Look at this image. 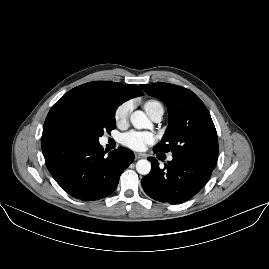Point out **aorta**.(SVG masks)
I'll use <instances>...</instances> for the list:
<instances>
[{
    "label": "aorta",
    "mask_w": 269,
    "mask_h": 269,
    "mask_svg": "<svg viewBox=\"0 0 269 269\" xmlns=\"http://www.w3.org/2000/svg\"><path fill=\"white\" fill-rule=\"evenodd\" d=\"M130 122L136 128L142 129L150 126V121L141 110H135L130 115ZM136 171L141 175H147L151 171V163L147 159H140L136 163Z\"/></svg>",
    "instance_id": "1"
}]
</instances>
